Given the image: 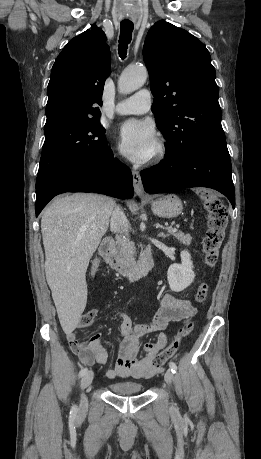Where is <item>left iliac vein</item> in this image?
Listing matches in <instances>:
<instances>
[{
	"mask_svg": "<svg viewBox=\"0 0 261 459\" xmlns=\"http://www.w3.org/2000/svg\"><path fill=\"white\" fill-rule=\"evenodd\" d=\"M164 379H165L166 383L169 384V385H171L172 382L174 381V375H173V372L170 369H168L165 372Z\"/></svg>",
	"mask_w": 261,
	"mask_h": 459,
	"instance_id": "1",
	"label": "left iliac vein"
}]
</instances>
